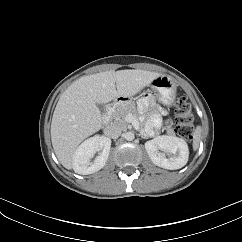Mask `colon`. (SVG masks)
I'll return each instance as SVG.
<instances>
[{"mask_svg": "<svg viewBox=\"0 0 242 242\" xmlns=\"http://www.w3.org/2000/svg\"><path fill=\"white\" fill-rule=\"evenodd\" d=\"M174 124L175 131L181 137L191 139L193 135V116L191 106L186 97L182 95L176 96L174 99Z\"/></svg>", "mask_w": 242, "mask_h": 242, "instance_id": "1", "label": "colon"}]
</instances>
